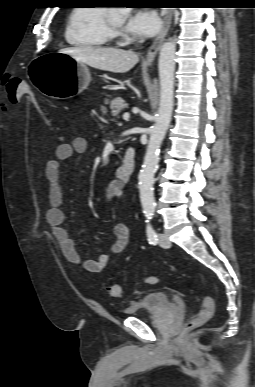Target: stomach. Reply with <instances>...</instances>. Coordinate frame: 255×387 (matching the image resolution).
<instances>
[{
  "label": "stomach",
  "instance_id": "obj_1",
  "mask_svg": "<svg viewBox=\"0 0 255 387\" xmlns=\"http://www.w3.org/2000/svg\"><path fill=\"white\" fill-rule=\"evenodd\" d=\"M57 50L56 46L41 47L43 55L30 61L31 75H26V82H34L47 99H70L71 94L88 86L91 74L86 64Z\"/></svg>",
  "mask_w": 255,
  "mask_h": 387
}]
</instances>
